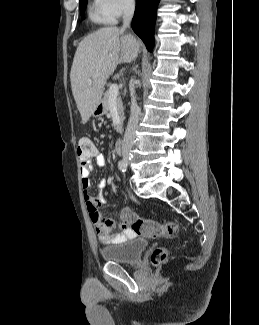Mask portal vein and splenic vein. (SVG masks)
Returning a JSON list of instances; mask_svg holds the SVG:
<instances>
[{
    "instance_id": "portal-vein-and-splenic-vein-1",
    "label": "portal vein and splenic vein",
    "mask_w": 259,
    "mask_h": 325,
    "mask_svg": "<svg viewBox=\"0 0 259 325\" xmlns=\"http://www.w3.org/2000/svg\"><path fill=\"white\" fill-rule=\"evenodd\" d=\"M119 87L117 84H112L109 88L110 99H116Z\"/></svg>"
}]
</instances>
